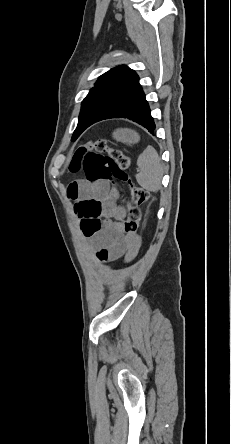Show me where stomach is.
<instances>
[{
  "mask_svg": "<svg viewBox=\"0 0 231 444\" xmlns=\"http://www.w3.org/2000/svg\"><path fill=\"white\" fill-rule=\"evenodd\" d=\"M113 138L118 142L125 144L137 143L140 139L139 135L130 129H118L113 132Z\"/></svg>",
  "mask_w": 231,
  "mask_h": 444,
  "instance_id": "obj_1",
  "label": "stomach"
}]
</instances>
